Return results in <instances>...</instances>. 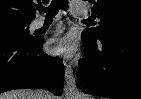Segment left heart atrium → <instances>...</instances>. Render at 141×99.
<instances>
[{
  "label": "left heart atrium",
  "mask_w": 141,
  "mask_h": 99,
  "mask_svg": "<svg viewBox=\"0 0 141 99\" xmlns=\"http://www.w3.org/2000/svg\"><path fill=\"white\" fill-rule=\"evenodd\" d=\"M49 50L57 56L72 57L76 52V40L70 34L56 37L49 42Z\"/></svg>",
  "instance_id": "left-heart-atrium-1"
}]
</instances>
